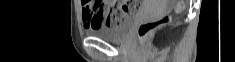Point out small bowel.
<instances>
[{"label":"small bowel","mask_w":235,"mask_h":62,"mask_svg":"<svg viewBox=\"0 0 235 62\" xmlns=\"http://www.w3.org/2000/svg\"><path fill=\"white\" fill-rule=\"evenodd\" d=\"M118 4L123 7L124 15L134 12V5L129 2L112 3V5ZM82 6V18L84 27L87 30H93L101 27L104 22L107 24L108 16L110 13L109 8H101L99 5H94L91 1L83 0Z\"/></svg>","instance_id":"small-bowel-1"}]
</instances>
